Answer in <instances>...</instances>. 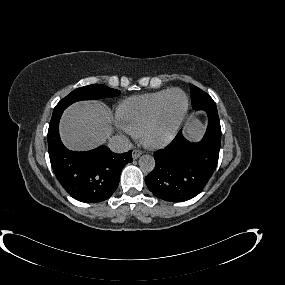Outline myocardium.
<instances>
[{
    "label": "myocardium",
    "instance_id": "1",
    "mask_svg": "<svg viewBox=\"0 0 285 285\" xmlns=\"http://www.w3.org/2000/svg\"><path fill=\"white\" fill-rule=\"evenodd\" d=\"M176 92L181 93L184 96V107L176 118L175 122L173 123L171 129L168 131V133H166L162 137L153 138L151 134L162 123L168 109L169 99L171 95ZM188 108L189 100L187 94L181 89H171L161 102L154 117L145 125L142 132L140 133L142 142L146 146L151 148H158L169 144L176 137L180 126L188 112Z\"/></svg>",
    "mask_w": 285,
    "mask_h": 285
}]
</instances>
